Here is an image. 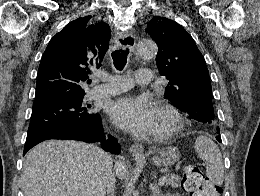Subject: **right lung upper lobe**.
<instances>
[{"label":"right lung upper lobe","mask_w":260,"mask_h":196,"mask_svg":"<svg viewBox=\"0 0 260 196\" xmlns=\"http://www.w3.org/2000/svg\"><path fill=\"white\" fill-rule=\"evenodd\" d=\"M91 18L70 22L50 40L39 65L33 105L85 94L80 84L100 68L111 37L107 23L90 24Z\"/></svg>","instance_id":"cb5924a9"}]
</instances>
